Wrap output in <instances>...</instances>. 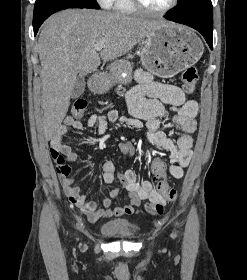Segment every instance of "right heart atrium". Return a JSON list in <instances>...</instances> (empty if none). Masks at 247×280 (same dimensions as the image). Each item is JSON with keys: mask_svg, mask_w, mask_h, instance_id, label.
<instances>
[{"mask_svg": "<svg viewBox=\"0 0 247 280\" xmlns=\"http://www.w3.org/2000/svg\"><path fill=\"white\" fill-rule=\"evenodd\" d=\"M97 2L103 7H110L112 6L114 0H97Z\"/></svg>", "mask_w": 247, "mask_h": 280, "instance_id": "right-heart-atrium-1", "label": "right heart atrium"}]
</instances>
